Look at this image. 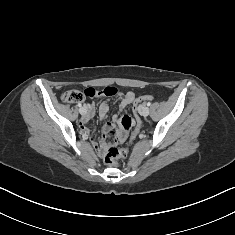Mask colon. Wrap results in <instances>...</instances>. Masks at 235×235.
Returning <instances> with one entry per match:
<instances>
[{
  "label": "colon",
  "mask_w": 235,
  "mask_h": 235,
  "mask_svg": "<svg viewBox=\"0 0 235 235\" xmlns=\"http://www.w3.org/2000/svg\"><path fill=\"white\" fill-rule=\"evenodd\" d=\"M114 94L113 87H105L103 89L97 88H87L83 92L78 90H69L62 94V101L65 103H76L80 102L83 97H99V96H110ZM154 97L152 95H143L134 100V112L137 113L140 105L146 103L147 101L153 100ZM137 121H135L131 116L124 115L121 118L122 129L118 132L110 131L106 135V139L108 145L103 148V156L104 161L109 166H115L117 163L124 159L127 156V149H120L118 145L123 143L129 134L130 129L135 126V129L131 132L129 137V143L131 144L137 136L138 133V125Z\"/></svg>",
  "instance_id": "5ec220e1"
}]
</instances>
